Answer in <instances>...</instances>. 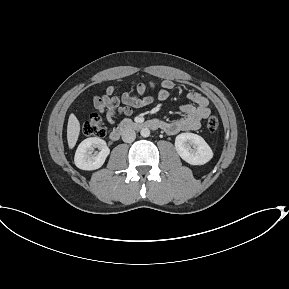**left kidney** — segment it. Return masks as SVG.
<instances>
[{"label": "left kidney", "mask_w": 289, "mask_h": 289, "mask_svg": "<svg viewBox=\"0 0 289 289\" xmlns=\"http://www.w3.org/2000/svg\"><path fill=\"white\" fill-rule=\"evenodd\" d=\"M178 155L191 165H204L213 157V151L205 140L194 133H181L175 139Z\"/></svg>", "instance_id": "obj_1"}]
</instances>
